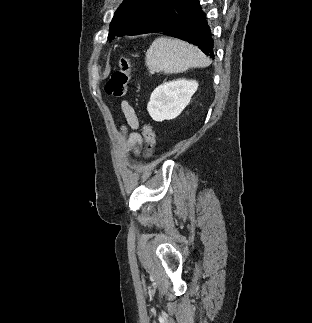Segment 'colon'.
Returning a JSON list of instances; mask_svg holds the SVG:
<instances>
[{
	"mask_svg": "<svg viewBox=\"0 0 312 323\" xmlns=\"http://www.w3.org/2000/svg\"><path fill=\"white\" fill-rule=\"evenodd\" d=\"M130 71V58L127 55H121L118 60V68L112 73L105 87L110 96L120 98L127 93ZM142 136L148 146L146 156L150 157L152 148L156 142V136L150 124H144L142 126Z\"/></svg>",
	"mask_w": 312,
	"mask_h": 323,
	"instance_id": "obj_1",
	"label": "colon"
}]
</instances>
